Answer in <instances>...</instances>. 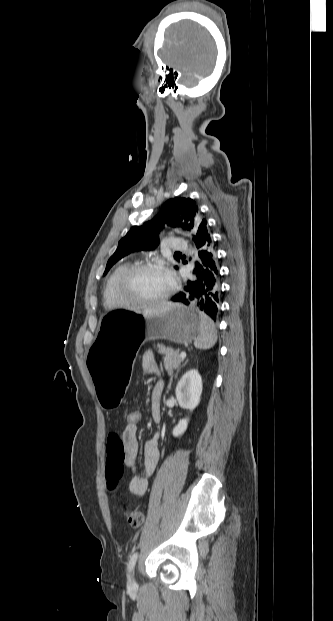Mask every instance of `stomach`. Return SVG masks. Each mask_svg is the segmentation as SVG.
<instances>
[{
	"instance_id": "obj_1",
	"label": "stomach",
	"mask_w": 333,
	"mask_h": 621,
	"mask_svg": "<svg viewBox=\"0 0 333 621\" xmlns=\"http://www.w3.org/2000/svg\"><path fill=\"white\" fill-rule=\"evenodd\" d=\"M199 312L174 304L167 312L143 314L111 310L102 314L98 336L88 347L90 379L94 395L106 412L119 408L130 384V372L138 348L150 340L186 344L199 333Z\"/></svg>"
}]
</instances>
